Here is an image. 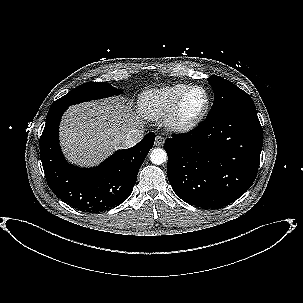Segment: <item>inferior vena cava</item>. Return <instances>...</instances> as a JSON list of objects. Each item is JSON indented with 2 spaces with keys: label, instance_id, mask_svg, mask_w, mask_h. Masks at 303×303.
Returning <instances> with one entry per match:
<instances>
[{
  "label": "inferior vena cava",
  "instance_id": "obj_1",
  "mask_svg": "<svg viewBox=\"0 0 303 303\" xmlns=\"http://www.w3.org/2000/svg\"><path fill=\"white\" fill-rule=\"evenodd\" d=\"M144 137V131L133 129L129 131L122 141V148H130L137 144Z\"/></svg>",
  "mask_w": 303,
  "mask_h": 303
}]
</instances>
